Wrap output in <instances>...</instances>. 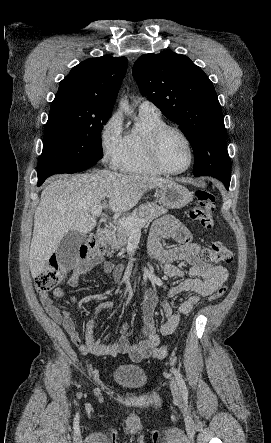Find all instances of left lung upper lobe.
<instances>
[{
  "mask_svg": "<svg viewBox=\"0 0 271 443\" xmlns=\"http://www.w3.org/2000/svg\"><path fill=\"white\" fill-rule=\"evenodd\" d=\"M141 94L177 123L189 140L195 176H212L230 184V158L224 118L214 86L187 56L172 51L145 54L133 66Z\"/></svg>",
  "mask_w": 271,
  "mask_h": 443,
  "instance_id": "5c2ea615",
  "label": "left lung upper lobe"
}]
</instances>
